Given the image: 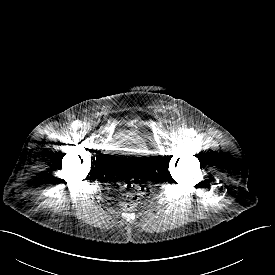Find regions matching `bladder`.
Here are the masks:
<instances>
[{
    "instance_id": "31cf9c89",
    "label": "bladder",
    "mask_w": 275,
    "mask_h": 275,
    "mask_svg": "<svg viewBox=\"0 0 275 275\" xmlns=\"http://www.w3.org/2000/svg\"><path fill=\"white\" fill-rule=\"evenodd\" d=\"M108 160L117 177H144L157 166L158 146L152 136L141 130H118L110 138Z\"/></svg>"
}]
</instances>
